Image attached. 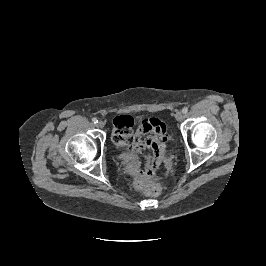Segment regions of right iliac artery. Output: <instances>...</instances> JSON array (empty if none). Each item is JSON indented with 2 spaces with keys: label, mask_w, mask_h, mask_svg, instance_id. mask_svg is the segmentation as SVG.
<instances>
[{
  "label": "right iliac artery",
  "mask_w": 266,
  "mask_h": 266,
  "mask_svg": "<svg viewBox=\"0 0 266 266\" xmlns=\"http://www.w3.org/2000/svg\"><path fill=\"white\" fill-rule=\"evenodd\" d=\"M92 122L96 124V123H98V120L96 118H93Z\"/></svg>",
  "instance_id": "obj_1"
}]
</instances>
